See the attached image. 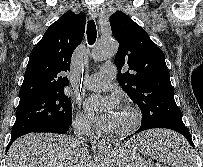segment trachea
<instances>
[{
    "instance_id": "trachea-1",
    "label": "trachea",
    "mask_w": 203,
    "mask_h": 167,
    "mask_svg": "<svg viewBox=\"0 0 203 167\" xmlns=\"http://www.w3.org/2000/svg\"><path fill=\"white\" fill-rule=\"evenodd\" d=\"M86 34L89 45H93L97 37V30L94 20L88 21Z\"/></svg>"
}]
</instances>
